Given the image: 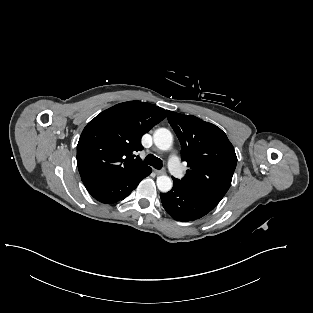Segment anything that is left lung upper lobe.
Here are the masks:
<instances>
[{"label": "left lung upper lobe", "instance_id": "1", "mask_svg": "<svg viewBox=\"0 0 313 313\" xmlns=\"http://www.w3.org/2000/svg\"><path fill=\"white\" fill-rule=\"evenodd\" d=\"M167 116L181 143V159L190 167L182 180L174 179L187 190L220 202L237 164L233 145L212 123L172 111Z\"/></svg>", "mask_w": 313, "mask_h": 313}]
</instances>
